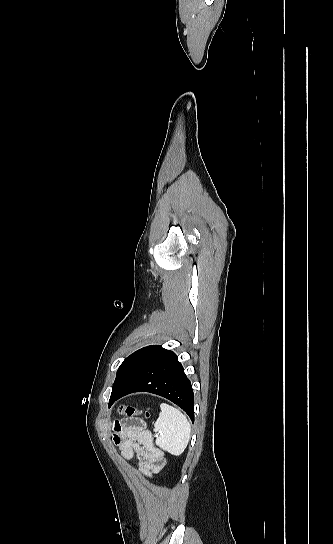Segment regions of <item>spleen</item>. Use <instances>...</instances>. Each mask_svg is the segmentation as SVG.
Instances as JSON below:
<instances>
[{
    "instance_id": "3e777b00",
    "label": "spleen",
    "mask_w": 333,
    "mask_h": 544,
    "mask_svg": "<svg viewBox=\"0 0 333 544\" xmlns=\"http://www.w3.org/2000/svg\"><path fill=\"white\" fill-rule=\"evenodd\" d=\"M160 413L154 424V431L160 432L156 444L173 455L181 454L188 445L191 426L180 410L162 403Z\"/></svg>"
}]
</instances>
